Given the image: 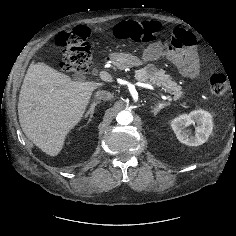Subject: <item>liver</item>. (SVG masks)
<instances>
[{"mask_svg":"<svg viewBox=\"0 0 236 236\" xmlns=\"http://www.w3.org/2000/svg\"><path fill=\"white\" fill-rule=\"evenodd\" d=\"M97 82H77L45 63L33 61L26 72L18 102L20 126L26 137L50 156L81 121Z\"/></svg>","mask_w":236,"mask_h":236,"instance_id":"liver-1","label":"liver"}]
</instances>
